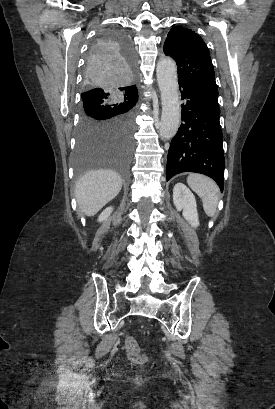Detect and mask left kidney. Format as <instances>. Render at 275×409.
I'll return each instance as SVG.
<instances>
[{
	"instance_id": "1",
	"label": "left kidney",
	"mask_w": 275,
	"mask_h": 409,
	"mask_svg": "<svg viewBox=\"0 0 275 409\" xmlns=\"http://www.w3.org/2000/svg\"><path fill=\"white\" fill-rule=\"evenodd\" d=\"M173 200L177 211H183V217L192 225L198 227L197 205L193 192L183 184L177 182L173 188Z\"/></svg>"
}]
</instances>
